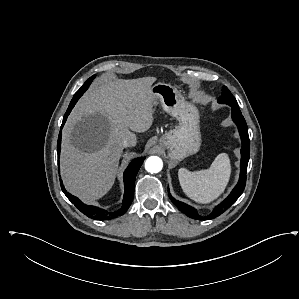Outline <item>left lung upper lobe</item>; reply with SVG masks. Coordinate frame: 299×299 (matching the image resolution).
I'll list each match as a JSON object with an SVG mask.
<instances>
[{
  "label": "left lung upper lobe",
  "instance_id": "left-lung-upper-lobe-1",
  "mask_svg": "<svg viewBox=\"0 0 299 299\" xmlns=\"http://www.w3.org/2000/svg\"><path fill=\"white\" fill-rule=\"evenodd\" d=\"M218 102L228 105L237 104L235 97L226 86H223L222 95L219 97Z\"/></svg>",
  "mask_w": 299,
  "mask_h": 299
}]
</instances>
